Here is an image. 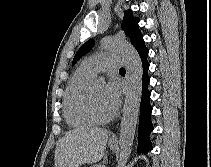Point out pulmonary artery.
I'll return each mask as SVG.
<instances>
[{"instance_id": "obj_1", "label": "pulmonary artery", "mask_w": 211, "mask_h": 167, "mask_svg": "<svg viewBox=\"0 0 211 167\" xmlns=\"http://www.w3.org/2000/svg\"><path fill=\"white\" fill-rule=\"evenodd\" d=\"M123 64L120 56L110 53H100L84 59L81 66L93 75L101 71L119 69Z\"/></svg>"}]
</instances>
